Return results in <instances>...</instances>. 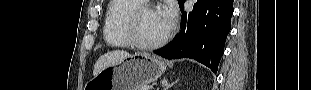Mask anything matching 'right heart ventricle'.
<instances>
[{"label":"right heart ventricle","mask_w":311,"mask_h":90,"mask_svg":"<svg viewBox=\"0 0 311 90\" xmlns=\"http://www.w3.org/2000/svg\"><path fill=\"white\" fill-rule=\"evenodd\" d=\"M144 3L140 0H113L107 8L103 35L106 43L112 47L132 46L128 36L127 22L131 13Z\"/></svg>","instance_id":"1"}]
</instances>
